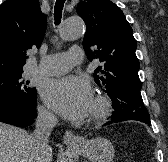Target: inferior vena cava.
<instances>
[{"instance_id": "inferior-vena-cava-1", "label": "inferior vena cava", "mask_w": 168, "mask_h": 162, "mask_svg": "<svg viewBox=\"0 0 168 162\" xmlns=\"http://www.w3.org/2000/svg\"><path fill=\"white\" fill-rule=\"evenodd\" d=\"M57 118L46 110H39L34 132L29 139L28 162H45V155L51 150L48 140Z\"/></svg>"}]
</instances>
